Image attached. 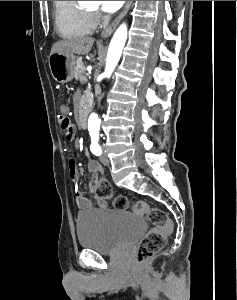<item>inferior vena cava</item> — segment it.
Returning a JSON list of instances; mask_svg holds the SVG:
<instances>
[{"instance_id":"1","label":"inferior vena cava","mask_w":237,"mask_h":300,"mask_svg":"<svg viewBox=\"0 0 237 300\" xmlns=\"http://www.w3.org/2000/svg\"><path fill=\"white\" fill-rule=\"evenodd\" d=\"M98 101H101V97H98Z\"/></svg>"}]
</instances>
